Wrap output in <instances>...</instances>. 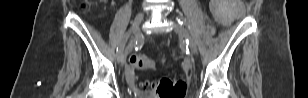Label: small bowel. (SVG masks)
Returning <instances> with one entry per match:
<instances>
[{
  "label": "small bowel",
  "instance_id": "1",
  "mask_svg": "<svg viewBox=\"0 0 308 98\" xmlns=\"http://www.w3.org/2000/svg\"><path fill=\"white\" fill-rule=\"evenodd\" d=\"M133 76H134L133 71H132L131 69H129V70H128V77H129L130 79H133Z\"/></svg>",
  "mask_w": 308,
  "mask_h": 98
}]
</instances>
